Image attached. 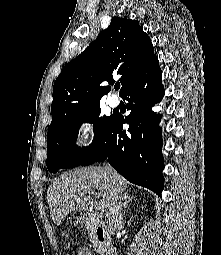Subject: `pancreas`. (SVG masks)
Returning <instances> with one entry per match:
<instances>
[{
  "instance_id": "cf45deb5",
  "label": "pancreas",
  "mask_w": 221,
  "mask_h": 255,
  "mask_svg": "<svg viewBox=\"0 0 221 255\" xmlns=\"http://www.w3.org/2000/svg\"><path fill=\"white\" fill-rule=\"evenodd\" d=\"M99 224H100V221L98 219H90L86 227H87V230L90 232L91 241L95 244V247L97 248L98 251H102L103 248L97 242L96 236L94 234Z\"/></svg>"
}]
</instances>
